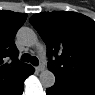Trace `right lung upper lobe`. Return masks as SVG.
<instances>
[{
	"label": "right lung upper lobe",
	"mask_w": 95,
	"mask_h": 95,
	"mask_svg": "<svg viewBox=\"0 0 95 95\" xmlns=\"http://www.w3.org/2000/svg\"><path fill=\"white\" fill-rule=\"evenodd\" d=\"M26 18L24 13L0 11V95H12L33 69L18 60L14 43L15 34Z\"/></svg>",
	"instance_id": "cb5924a9"
}]
</instances>
